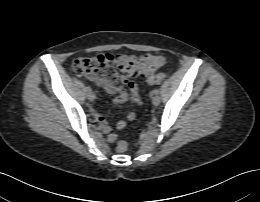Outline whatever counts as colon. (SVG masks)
<instances>
[{"label":"colon","mask_w":260,"mask_h":202,"mask_svg":"<svg viewBox=\"0 0 260 202\" xmlns=\"http://www.w3.org/2000/svg\"><path fill=\"white\" fill-rule=\"evenodd\" d=\"M163 63L164 58L158 54L135 56L129 53H104L73 60L71 70L76 75L103 85L110 84L118 78L125 85H130L132 79L139 76L145 77L149 84H159L166 78L165 73H156ZM127 149L126 142H118V152L124 153Z\"/></svg>","instance_id":"1"}]
</instances>
